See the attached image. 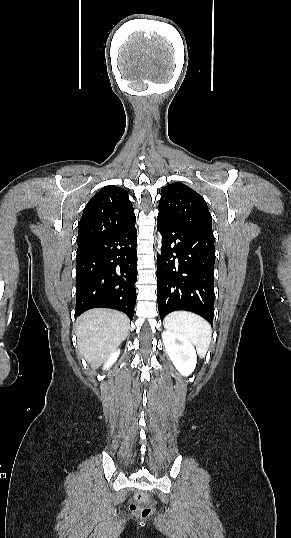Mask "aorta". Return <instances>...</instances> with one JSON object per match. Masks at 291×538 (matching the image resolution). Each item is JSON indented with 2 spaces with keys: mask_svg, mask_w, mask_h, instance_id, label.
I'll return each mask as SVG.
<instances>
[{
  "mask_svg": "<svg viewBox=\"0 0 291 538\" xmlns=\"http://www.w3.org/2000/svg\"><path fill=\"white\" fill-rule=\"evenodd\" d=\"M158 245H159V248H160L161 247V236H159Z\"/></svg>",
  "mask_w": 291,
  "mask_h": 538,
  "instance_id": "762f6f07",
  "label": "aorta"
}]
</instances>
